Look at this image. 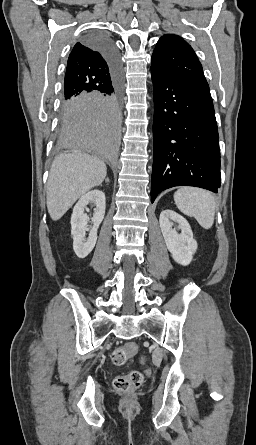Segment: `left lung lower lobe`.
Wrapping results in <instances>:
<instances>
[{
  "label": "left lung lower lobe",
  "instance_id": "obj_1",
  "mask_svg": "<svg viewBox=\"0 0 256 445\" xmlns=\"http://www.w3.org/2000/svg\"><path fill=\"white\" fill-rule=\"evenodd\" d=\"M154 84L151 202L174 186L220 187L217 123L209 87L151 67Z\"/></svg>",
  "mask_w": 256,
  "mask_h": 445
}]
</instances>
